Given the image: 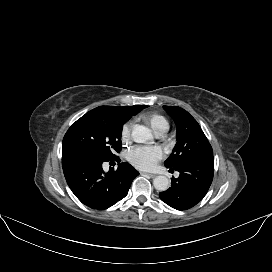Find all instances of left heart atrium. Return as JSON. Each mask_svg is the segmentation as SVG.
Returning <instances> with one entry per match:
<instances>
[{
	"label": "left heart atrium",
	"mask_w": 272,
	"mask_h": 272,
	"mask_svg": "<svg viewBox=\"0 0 272 272\" xmlns=\"http://www.w3.org/2000/svg\"><path fill=\"white\" fill-rule=\"evenodd\" d=\"M162 157L163 153L158 147L139 146L133 148L129 153L131 163L145 170L154 168Z\"/></svg>",
	"instance_id": "obj_1"
}]
</instances>
